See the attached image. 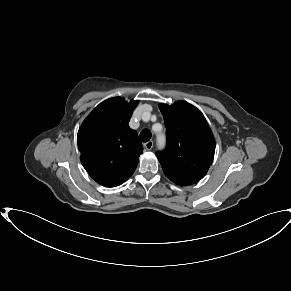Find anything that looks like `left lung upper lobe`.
<instances>
[{"mask_svg": "<svg viewBox=\"0 0 291 291\" xmlns=\"http://www.w3.org/2000/svg\"><path fill=\"white\" fill-rule=\"evenodd\" d=\"M164 117L167 146L156 156L167 178L181 186L201 180L211 165L215 139L199 109L178 101L159 105Z\"/></svg>", "mask_w": 291, "mask_h": 291, "instance_id": "left-lung-upper-lobe-1", "label": "left lung upper lobe"}]
</instances>
